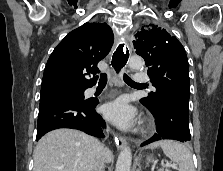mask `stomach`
<instances>
[{
  "mask_svg": "<svg viewBox=\"0 0 223 171\" xmlns=\"http://www.w3.org/2000/svg\"><path fill=\"white\" fill-rule=\"evenodd\" d=\"M152 161H153V158L151 156H148L147 157V164L150 163V162H152Z\"/></svg>",
  "mask_w": 223,
  "mask_h": 171,
  "instance_id": "0dacf381",
  "label": "stomach"
}]
</instances>
